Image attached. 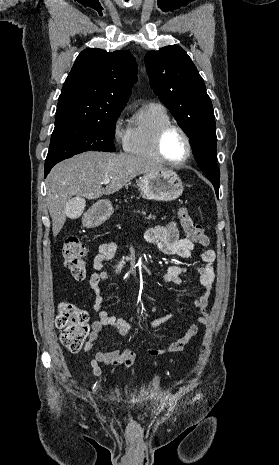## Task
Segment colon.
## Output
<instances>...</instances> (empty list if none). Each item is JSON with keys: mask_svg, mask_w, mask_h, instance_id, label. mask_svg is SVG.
I'll use <instances>...</instances> for the list:
<instances>
[{"mask_svg": "<svg viewBox=\"0 0 279 465\" xmlns=\"http://www.w3.org/2000/svg\"><path fill=\"white\" fill-rule=\"evenodd\" d=\"M178 218L190 240L202 246L209 245L210 241L203 227L193 220L186 208L179 209ZM84 255L85 246L78 236L71 235L65 239L62 248L64 265L76 280H83L87 274ZM56 326L60 330L62 344L69 351L78 352L89 333L86 312L72 303L61 302L58 306Z\"/></svg>", "mask_w": 279, "mask_h": 465, "instance_id": "obj_1", "label": "colon"}]
</instances>
